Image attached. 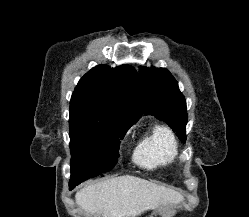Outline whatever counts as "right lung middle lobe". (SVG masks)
Listing matches in <instances>:
<instances>
[{"mask_svg": "<svg viewBox=\"0 0 249 217\" xmlns=\"http://www.w3.org/2000/svg\"><path fill=\"white\" fill-rule=\"evenodd\" d=\"M71 164L88 171L75 176L85 180L104 175L117 163L120 141L131 124L119 117L86 104H70Z\"/></svg>", "mask_w": 249, "mask_h": 217, "instance_id": "obj_1", "label": "right lung middle lobe"}]
</instances>
